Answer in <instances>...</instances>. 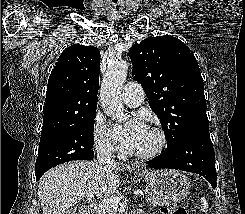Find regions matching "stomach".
Segmentation results:
<instances>
[{
	"label": "stomach",
	"mask_w": 245,
	"mask_h": 214,
	"mask_svg": "<svg viewBox=\"0 0 245 214\" xmlns=\"http://www.w3.org/2000/svg\"><path fill=\"white\" fill-rule=\"evenodd\" d=\"M142 175L150 189L166 200L180 201L190 192L188 178L178 170H150Z\"/></svg>",
	"instance_id": "1"
}]
</instances>
